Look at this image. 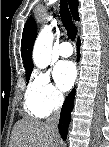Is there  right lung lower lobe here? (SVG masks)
Here are the masks:
<instances>
[{"label": "right lung lower lobe", "mask_w": 109, "mask_h": 147, "mask_svg": "<svg viewBox=\"0 0 109 147\" xmlns=\"http://www.w3.org/2000/svg\"><path fill=\"white\" fill-rule=\"evenodd\" d=\"M79 46H80V41L78 39L77 47L79 48ZM78 58H79V53H78ZM74 98H75V90L73 89L71 93L67 96L61 110V116L59 120V132L64 140L66 139V136H67V130L70 123Z\"/></svg>", "instance_id": "right-lung-lower-lobe-1"}]
</instances>
